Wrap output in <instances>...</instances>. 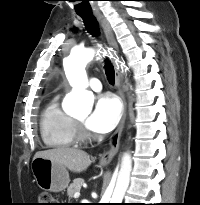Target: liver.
I'll list each match as a JSON object with an SVG mask.
<instances>
[{"label": "liver", "mask_w": 200, "mask_h": 205, "mask_svg": "<svg viewBox=\"0 0 200 205\" xmlns=\"http://www.w3.org/2000/svg\"><path fill=\"white\" fill-rule=\"evenodd\" d=\"M38 157L55 161L76 173L85 171L91 164L90 156L86 152L68 147L39 151L34 158Z\"/></svg>", "instance_id": "1"}]
</instances>
